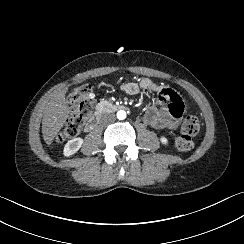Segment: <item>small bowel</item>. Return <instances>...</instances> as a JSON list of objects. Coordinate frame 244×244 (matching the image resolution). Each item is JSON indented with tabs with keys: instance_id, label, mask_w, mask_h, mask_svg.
Listing matches in <instances>:
<instances>
[{
	"instance_id": "1",
	"label": "small bowel",
	"mask_w": 244,
	"mask_h": 244,
	"mask_svg": "<svg viewBox=\"0 0 244 244\" xmlns=\"http://www.w3.org/2000/svg\"><path fill=\"white\" fill-rule=\"evenodd\" d=\"M121 89L129 95H137L142 90L156 93L153 102L142 115L141 120L145 125L161 130H171L177 126L184 105L174 89L148 78L124 84Z\"/></svg>"
}]
</instances>
